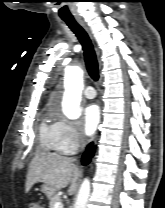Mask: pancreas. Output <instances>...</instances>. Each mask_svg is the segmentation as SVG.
I'll use <instances>...</instances> for the list:
<instances>
[{
	"instance_id": "pancreas-1",
	"label": "pancreas",
	"mask_w": 165,
	"mask_h": 208,
	"mask_svg": "<svg viewBox=\"0 0 165 208\" xmlns=\"http://www.w3.org/2000/svg\"><path fill=\"white\" fill-rule=\"evenodd\" d=\"M57 202H61V197L58 195H54L49 202V208H55V204Z\"/></svg>"
}]
</instances>
